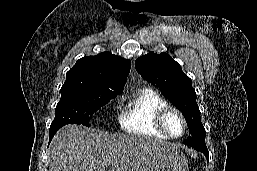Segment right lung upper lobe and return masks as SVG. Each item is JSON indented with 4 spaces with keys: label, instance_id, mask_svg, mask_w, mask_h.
<instances>
[{
    "label": "right lung upper lobe",
    "instance_id": "obj_1",
    "mask_svg": "<svg viewBox=\"0 0 257 171\" xmlns=\"http://www.w3.org/2000/svg\"><path fill=\"white\" fill-rule=\"evenodd\" d=\"M130 68V60L107 51L87 56L79 59L67 72L62 88L91 87L122 93Z\"/></svg>",
    "mask_w": 257,
    "mask_h": 171
}]
</instances>
